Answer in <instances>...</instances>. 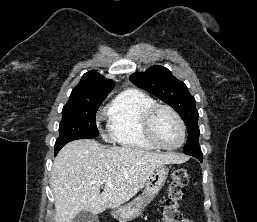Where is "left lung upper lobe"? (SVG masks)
Instances as JSON below:
<instances>
[{"mask_svg": "<svg viewBox=\"0 0 257 222\" xmlns=\"http://www.w3.org/2000/svg\"><path fill=\"white\" fill-rule=\"evenodd\" d=\"M130 80L137 87L155 95L179 113L188 131L184 153L193 157L203 156L199 146V115L195 107V99L189 93L187 86L176 79L167 68L159 65L151 66L145 72L132 74Z\"/></svg>", "mask_w": 257, "mask_h": 222, "instance_id": "obj_1", "label": "left lung upper lobe"}]
</instances>
